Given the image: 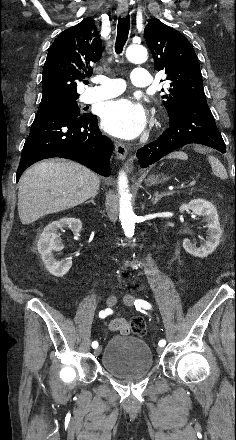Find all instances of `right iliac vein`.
<instances>
[{
	"label": "right iliac vein",
	"instance_id": "63e3f726",
	"mask_svg": "<svg viewBox=\"0 0 236 440\" xmlns=\"http://www.w3.org/2000/svg\"><path fill=\"white\" fill-rule=\"evenodd\" d=\"M116 302H117V299H116V297H115L114 295H110V296L107 298V301H106V303H107V305H108L109 307H113V306L116 304ZM100 352H101V346L97 347V348L94 350V354H95V355H99Z\"/></svg>",
	"mask_w": 236,
	"mask_h": 440
}]
</instances>
